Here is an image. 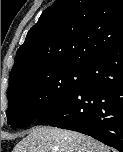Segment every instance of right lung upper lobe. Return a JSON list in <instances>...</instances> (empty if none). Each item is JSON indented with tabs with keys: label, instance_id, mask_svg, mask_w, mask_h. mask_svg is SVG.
Segmentation results:
<instances>
[{
	"label": "right lung upper lobe",
	"instance_id": "obj_1",
	"mask_svg": "<svg viewBox=\"0 0 123 152\" xmlns=\"http://www.w3.org/2000/svg\"><path fill=\"white\" fill-rule=\"evenodd\" d=\"M123 43V0H58L28 31L18 49L9 88L29 74L84 69Z\"/></svg>",
	"mask_w": 123,
	"mask_h": 152
}]
</instances>
